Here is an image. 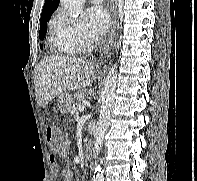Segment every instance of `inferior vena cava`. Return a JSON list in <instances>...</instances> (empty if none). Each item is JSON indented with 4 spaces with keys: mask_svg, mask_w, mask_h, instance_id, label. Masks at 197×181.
<instances>
[{
    "mask_svg": "<svg viewBox=\"0 0 197 181\" xmlns=\"http://www.w3.org/2000/svg\"><path fill=\"white\" fill-rule=\"evenodd\" d=\"M98 44H99V38L95 37V48H97Z\"/></svg>",
    "mask_w": 197,
    "mask_h": 181,
    "instance_id": "602c4592",
    "label": "inferior vena cava"
}]
</instances>
